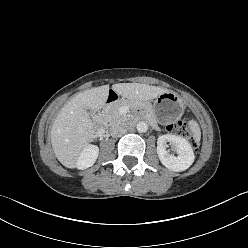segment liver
<instances>
[{
	"label": "liver",
	"instance_id": "6515ba94",
	"mask_svg": "<svg viewBox=\"0 0 248 248\" xmlns=\"http://www.w3.org/2000/svg\"><path fill=\"white\" fill-rule=\"evenodd\" d=\"M109 85L85 90L61 109L51 129V143L56 158L67 168H75L83 150L95 138V126L87 109L99 111L109 94ZM113 91L132 102L155 99L166 89L140 83H119Z\"/></svg>",
	"mask_w": 248,
	"mask_h": 248
}]
</instances>
